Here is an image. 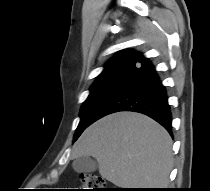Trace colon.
<instances>
[{"label":"colon","mask_w":210,"mask_h":191,"mask_svg":"<svg viewBox=\"0 0 210 191\" xmlns=\"http://www.w3.org/2000/svg\"><path fill=\"white\" fill-rule=\"evenodd\" d=\"M80 180L82 188L79 191H110L104 179L98 175L82 173Z\"/></svg>","instance_id":"5ec220e1"}]
</instances>
